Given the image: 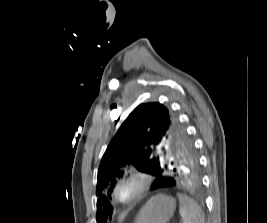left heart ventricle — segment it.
Here are the masks:
<instances>
[{
    "mask_svg": "<svg viewBox=\"0 0 267 223\" xmlns=\"http://www.w3.org/2000/svg\"><path fill=\"white\" fill-rule=\"evenodd\" d=\"M133 191V188L131 186H126L122 189L121 195L122 196H127Z\"/></svg>",
    "mask_w": 267,
    "mask_h": 223,
    "instance_id": "obj_1",
    "label": "left heart ventricle"
}]
</instances>
